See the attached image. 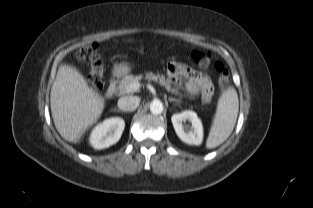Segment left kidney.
Returning a JSON list of instances; mask_svg holds the SVG:
<instances>
[{"label":"left kidney","mask_w":313,"mask_h":208,"mask_svg":"<svg viewBox=\"0 0 313 208\" xmlns=\"http://www.w3.org/2000/svg\"><path fill=\"white\" fill-rule=\"evenodd\" d=\"M191 122V127L183 125L185 121ZM171 121L177 136L190 145H200L203 140L202 122L194 111L186 110L179 114H174Z\"/></svg>","instance_id":"left-kidney-1"}]
</instances>
